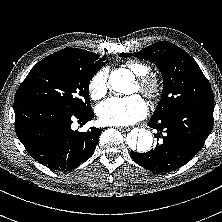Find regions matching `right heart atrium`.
I'll return each instance as SVG.
<instances>
[{"label":"right heart atrium","instance_id":"right-heart-atrium-1","mask_svg":"<svg viewBox=\"0 0 222 222\" xmlns=\"http://www.w3.org/2000/svg\"><path fill=\"white\" fill-rule=\"evenodd\" d=\"M108 72L105 69L98 71L90 80L89 92L94 100L103 98L108 90Z\"/></svg>","mask_w":222,"mask_h":222}]
</instances>
